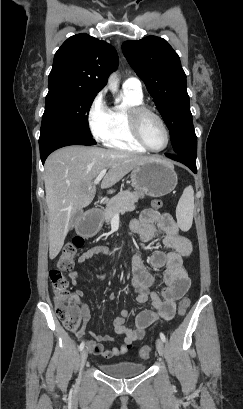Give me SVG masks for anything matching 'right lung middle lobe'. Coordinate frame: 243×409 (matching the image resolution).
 Instances as JSON below:
<instances>
[{"label": "right lung middle lobe", "mask_w": 243, "mask_h": 409, "mask_svg": "<svg viewBox=\"0 0 243 409\" xmlns=\"http://www.w3.org/2000/svg\"><path fill=\"white\" fill-rule=\"evenodd\" d=\"M48 87L40 139L54 131H67L92 138L88 113L97 93L85 92L62 83H49Z\"/></svg>", "instance_id": "1"}]
</instances>
